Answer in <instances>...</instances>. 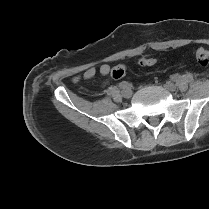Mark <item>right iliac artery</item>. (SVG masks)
Masks as SVG:
<instances>
[{
    "label": "right iliac artery",
    "instance_id": "right-iliac-artery-1",
    "mask_svg": "<svg viewBox=\"0 0 209 209\" xmlns=\"http://www.w3.org/2000/svg\"><path fill=\"white\" fill-rule=\"evenodd\" d=\"M129 86V84L127 83V82H121L120 84H119V87L121 88V89H125V88H127Z\"/></svg>",
    "mask_w": 209,
    "mask_h": 209
}]
</instances>
